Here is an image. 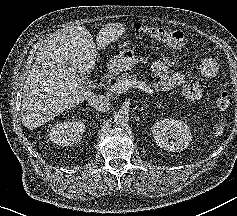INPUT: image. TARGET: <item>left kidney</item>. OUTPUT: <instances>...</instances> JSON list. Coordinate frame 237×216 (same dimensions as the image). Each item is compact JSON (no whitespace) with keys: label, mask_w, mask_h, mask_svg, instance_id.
<instances>
[{"label":"left kidney","mask_w":237,"mask_h":216,"mask_svg":"<svg viewBox=\"0 0 237 216\" xmlns=\"http://www.w3.org/2000/svg\"><path fill=\"white\" fill-rule=\"evenodd\" d=\"M152 133L156 144L168 151H183L191 140L187 125L174 119L158 121L152 127Z\"/></svg>","instance_id":"5707ae66"}]
</instances>
